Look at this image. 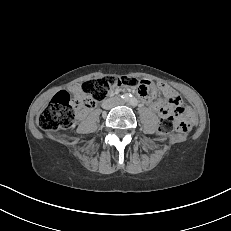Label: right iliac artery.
<instances>
[{
	"label": "right iliac artery",
	"mask_w": 231,
	"mask_h": 231,
	"mask_svg": "<svg viewBox=\"0 0 231 231\" xmlns=\"http://www.w3.org/2000/svg\"><path fill=\"white\" fill-rule=\"evenodd\" d=\"M130 97H131V95H129V94H124L121 96V98L126 102L130 101Z\"/></svg>",
	"instance_id": "right-iliac-artery-1"
}]
</instances>
